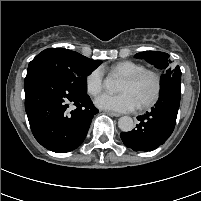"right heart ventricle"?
<instances>
[{
  "mask_svg": "<svg viewBox=\"0 0 201 201\" xmlns=\"http://www.w3.org/2000/svg\"><path fill=\"white\" fill-rule=\"evenodd\" d=\"M145 69V66L134 61H120L111 66L110 70L123 77L132 75Z\"/></svg>",
  "mask_w": 201,
  "mask_h": 201,
  "instance_id": "right-heart-ventricle-1",
  "label": "right heart ventricle"
}]
</instances>
